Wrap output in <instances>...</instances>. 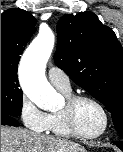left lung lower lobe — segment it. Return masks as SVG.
<instances>
[{
    "instance_id": "1",
    "label": "left lung lower lobe",
    "mask_w": 123,
    "mask_h": 152,
    "mask_svg": "<svg viewBox=\"0 0 123 152\" xmlns=\"http://www.w3.org/2000/svg\"><path fill=\"white\" fill-rule=\"evenodd\" d=\"M122 151H123V143L121 142H114Z\"/></svg>"
}]
</instances>
